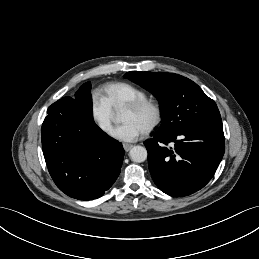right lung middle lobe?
Returning a JSON list of instances; mask_svg holds the SVG:
<instances>
[{
  "instance_id": "dd1d6c3e",
  "label": "right lung middle lobe",
  "mask_w": 259,
  "mask_h": 259,
  "mask_svg": "<svg viewBox=\"0 0 259 259\" xmlns=\"http://www.w3.org/2000/svg\"><path fill=\"white\" fill-rule=\"evenodd\" d=\"M91 84L90 82L84 83L79 90L75 93V103L79 107L82 114L92 120V102H91Z\"/></svg>"
}]
</instances>
